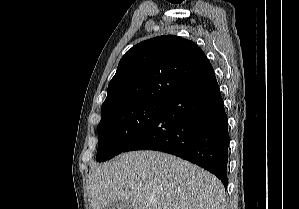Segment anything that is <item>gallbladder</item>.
I'll list each match as a JSON object with an SVG mask.
<instances>
[{
    "instance_id": "gallbladder-1",
    "label": "gallbladder",
    "mask_w": 299,
    "mask_h": 209,
    "mask_svg": "<svg viewBox=\"0 0 299 209\" xmlns=\"http://www.w3.org/2000/svg\"><path fill=\"white\" fill-rule=\"evenodd\" d=\"M103 209H134V207L124 199H117L106 205Z\"/></svg>"
}]
</instances>
